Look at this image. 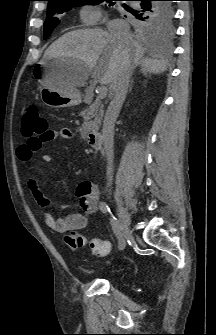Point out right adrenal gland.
Listing matches in <instances>:
<instances>
[{"label":"right adrenal gland","instance_id":"2a0ac1e0","mask_svg":"<svg viewBox=\"0 0 216 335\" xmlns=\"http://www.w3.org/2000/svg\"><path fill=\"white\" fill-rule=\"evenodd\" d=\"M132 84H133V80L131 81V83L129 85V92H131V90H132Z\"/></svg>","mask_w":216,"mask_h":335}]
</instances>
